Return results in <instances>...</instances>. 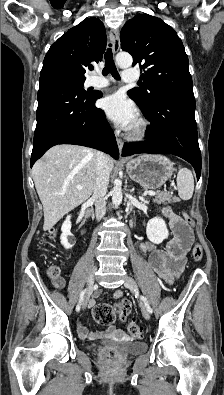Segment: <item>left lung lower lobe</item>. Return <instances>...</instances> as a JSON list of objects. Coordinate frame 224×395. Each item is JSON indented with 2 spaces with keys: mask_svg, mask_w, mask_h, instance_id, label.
I'll return each instance as SVG.
<instances>
[{
  "mask_svg": "<svg viewBox=\"0 0 224 395\" xmlns=\"http://www.w3.org/2000/svg\"><path fill=\"white\" fill-rule=\"evenodd\" d=\"M142 110L151 125L148 140L125 144L123 156L137 153L173 154L188 161L201 174V153L195 121V98L183 95L164 99L150 109Z\"/></svg>",
  "mask_w": 224,
  "mask_h": 395,
  "instance_id": "left-lung-lower-lobe-1",
  "label": "left lung lower lobe"
}]
</instances>
